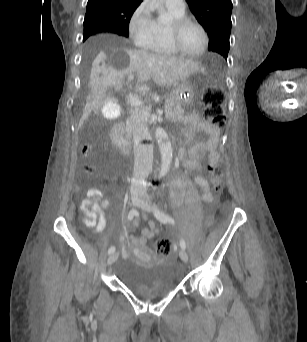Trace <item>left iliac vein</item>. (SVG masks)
<instances>
[{"instance_id": "left-iliac-vein-1", "label": "left iliac vein", "mask_w": 307, "mask_h": 342, "mask_svg": "<svg viewBox=\"0 0 307 342\" xmlns=\"http://www.w3.org/2000/svg\"><path fill=\"white\" fill-rule=\"evenodd\" d=\"M139 206L145 211H152L150 201L148 200H141ZM179 256L184 263L188 262L189 257H188L187 252L184 249L181 248L179 250Z\"/></svg>"}]
</instances>
